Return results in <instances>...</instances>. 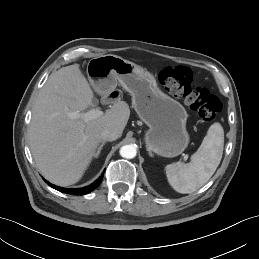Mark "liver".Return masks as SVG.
Returning a JSON list of instances; mask_svg holds the SVG:
<instances>
[{
    "instance_id": "1",
    "label": "liver",
    "mask_w": 259,
    "mask_h": 259,
    "mask_svg": "<svg viewBox=\"0 0 259 259\" xmlns=\"http://www.w3.org/2000/svg\"><path fill=\"white\" fill-rule=\"evenodd\" d=\"M93 97L79 64H73L53 72L35 100L30 149L36 167L51 183L78 182L97 153L102 131L115 130L120 137L127 125L130 110L123 101L88 122L70 116L94 106Z\"/></svg>"
}]
</instances>
